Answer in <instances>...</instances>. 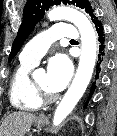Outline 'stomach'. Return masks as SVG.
Returning <instances> with one entry per match:
<instances>
[{"instance_id": "stomach-1", "label": "stomach", "mask_w": 117, "mask_h": 136, "mask_svg": "<svg viewBox=\"0 0 117 136\" xmlns=\"http://www.w3.org/2000/svg\"><path fill=\"white\" fill-rule=\"evenodd\" d=\"M45 123H46V119H45V118H42V117H39V118H37V119L35 120V124H36V126H38V127L44 126Z\"/></svg>"}]
</instances>
